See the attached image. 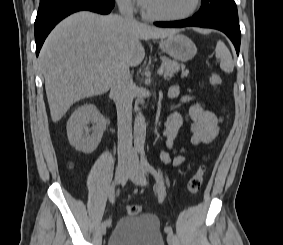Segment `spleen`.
Instances as JSON below:
<instances>
[{
    "label": "spleen",
    "instance_id": "spleen-1",
    "mask_svg": "<svg viewBox=\"0 0 283 245\" xmlns=\"http://www.w3.org/2000/svg\"><path fill=\"white\" fill-rule=\"evenodd\" d=\"M216 57L220 60V68L224 72L231 73L233 71L234 63L232 56L222 41H219L216 45Z\"/></svg>",
    "mask_w": 283,
    "mask_h": 245
}]
</instances>
